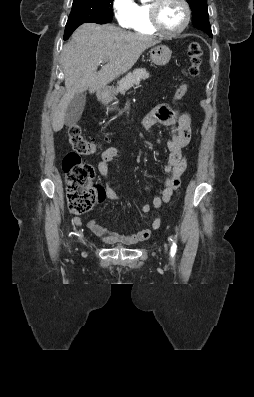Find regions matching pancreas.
I'll return each instance as SVG.
<instances>
[{"mask_svg": "<svg viewBox=\"0 0 254 397\" xmlns=\"http://www.w3.org/2000/svg\"><path fill=\"white\" fill-rule=\"evenodd\" d=\"M149 78V73L145 68L135 69L133 72H129L125 77L118 81V86L116 88L117 93L124 94L134 85H139L141 80Z\"/></svg>", "mask_w": 254, "mask_h": 397, "instance_id": "cf45deb5", "label": "pancreas"}]
</instances>
